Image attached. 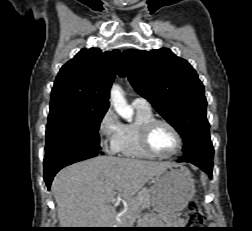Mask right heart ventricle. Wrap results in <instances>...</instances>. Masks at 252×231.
Here are the masks:
<instances>
[{"label":"right heart ventricle","mask_w":252,"mask_h":231,"mask_svg":"<svg viewBox=\"0 0 252 231\" xmlns=\"http://www.w3.org/2000/svg\"><path fill=\"white\" fill-rule=\"evenodd\" d=\"M136 119L132 123L122 124L120 136L117 142L116 152L122 156L147 159L149 155L140 142V128L148 120L154 118L151 109L134 107Z\"/></svg>","instance_id":"1"}]
</instances>
